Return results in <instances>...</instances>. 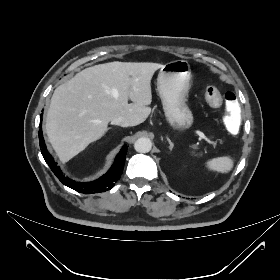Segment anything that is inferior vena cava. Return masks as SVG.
Here are the masks:
<instances>
[{
  "instance_id": "1",
  "label": "inferior vena cava",
  "mask_w": 280,
  "mask_h": 280,
  "mask_svg": "<svg viewBox=\"0 0 280 280\" xmlns=\"http://www.w3.org/2000/svg\"><path fill=\"white\" fill-rule=\"evenodd\" d=\"M112 124L114 125H119V126H122V127H128L130 126V122L129 120H127L126 118L124 117H118V118H115L111 121Z\"/></svg>"
}]
</instances>
